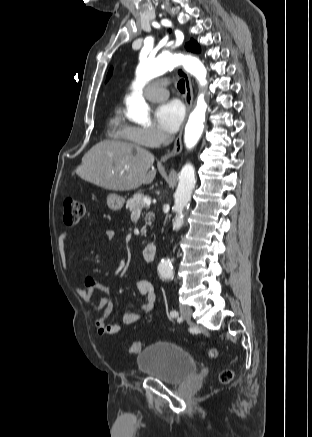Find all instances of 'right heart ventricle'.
Listing matches in <instances>:
<instances>
[{
  "label": "right heart ventricle",
  "instance_id": "e07e8e85",
  "mask_svg": "<svg viewBox=\"0 0 312 437\" xmlns=\"http://www.w3.org/2000/svg\"><path fill=\"white\" fill-rule=\"evenodd\" d=\"M130 126L124 121L121 112L115 111L109 120L111 136L119 141L136 143L129 135Z\"/></svg>",
  "mask_w": 312,
  "mask_h": 437
}]
</instances>
